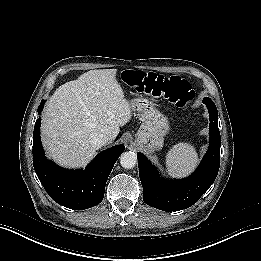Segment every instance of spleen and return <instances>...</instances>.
Masks as SVG:
<instances>
[{"instance_id":"obj_1","label":"spleen","mask_w":261,"mask_h":261,"mask_svg":"<svg viewBox=\"0 0 261 261\" xmlns=\"http://www.w3.org/2000/svg\"><path fill=\"white\" fill-rule=\"evenodd\" d=\"M198 153L189 143L174 145L166 155L167 172L172 177H185L189 175L198 163Z\"/></svg>"}]
</instances>
